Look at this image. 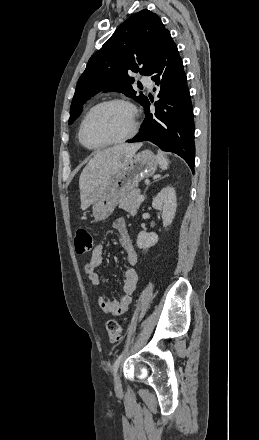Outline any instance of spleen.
<instances>
[{
	"label": "spleen",
	"instance_id": "1",
	"mask_svg": "<svg viewBox=\"0 0 259 440\" xmlns=\"http://www.w3.org/2000/svg\"><path fill=\"white\" fill-rule=\"evenodd\" d=\"M156 158H157V161L159 163L160 168L163 170H166L169 165L168 159L161 152L157 153Z\"/></svg>",
	"mask_w": 259,
	"mask_h": 440
}]
</instances>
